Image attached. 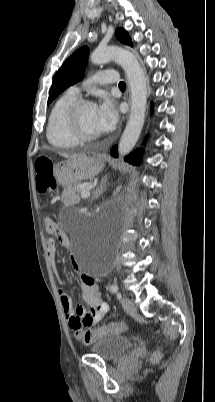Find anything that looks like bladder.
I'll return each instance as SVG.
<instances>
[{
    "instance_id": "1",
    "label": "bladder",
    "mask_w": 215,
    "mask_h": 402,
    "mask_svg": "<svg viewBox=\"0 0 215 402\" xmlns=\"http://www.w3.org/2000/svg\"><path fill=\"white\" fill-rule=\"evenodd\" d=\"M132 346V341L121 335L102 337L91 344L90 352L104 360L118 358Z\"/></svg>"
}]
</instances>
